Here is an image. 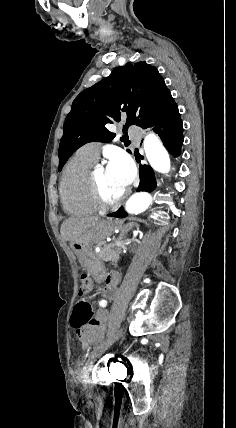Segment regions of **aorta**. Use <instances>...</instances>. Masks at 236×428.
<instances>
[{
    "mask_svg": "<svg viewBox=\"0 0 236 428\" xmlns=\"http://www.w3.org/2000/svg\"><path fill=\"white\" fill-rule=\"evenodd\" d=\"M146 158L153 170L160 173H168L171 163L170 157L162 142L154 133H149L144 140ZM152 203V196L147 192L133 194L125 205L130 214H139L148 209Z\"/></svg>",
    "mask_w": 236,
    "mask_h": 428,
    "instance_id": "obj_1",
    "label": "aorta"
}]
</instances>
